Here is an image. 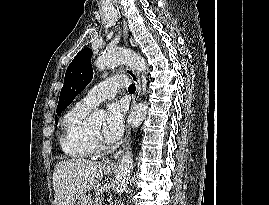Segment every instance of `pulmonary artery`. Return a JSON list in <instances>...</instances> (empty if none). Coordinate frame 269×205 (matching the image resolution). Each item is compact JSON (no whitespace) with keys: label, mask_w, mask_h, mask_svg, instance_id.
<instances>
[{"label":"pulmonary artery","mask_w":269,"mask_h":205,"mask_svg":"<svg viewBox=\"0 0 269 205\" xmlns=\"http://www.w3.org/2000/svg\"><path fill=\"white\" fill-rule=\"evenodd\" d=\"M129 82L127 76L111 77L94 88H92L85 97L78 102L81 107L91 110L99 103L113 98L119 88L125 87Z\"/></svg>","instance_id":"pulmonary-artery-1"}]
</instances>
